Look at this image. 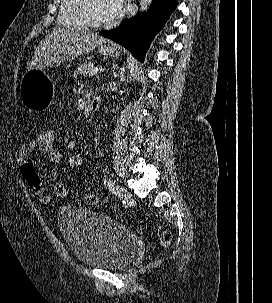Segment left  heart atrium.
Listing matches in <instances>:
<instances>
[{
	"mask_svg": "<svg viewBox=\"0 0 272 303\" xmlns=\"http://www.w3.org/2000/svg\"><path fill=\"white\" fill-rule=\"evenodd\" d=\"M108 15L111 20L120 18L125 11V0H106Z\"/></svg>",
	"mask_w": 272,
	"mask_h": 303,
	"instance_id": "39dd6f15",
	"label": "left heart atrium"
}]
</instances>
